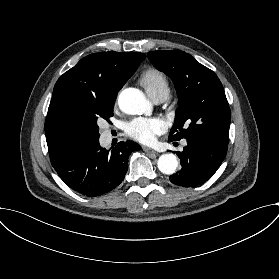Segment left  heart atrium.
Returning <instances> with one entry per match:
<instances>
[{
  "mask_svg": "<svg viewBox=\"0 0 279 279\" xmlns=\"http://www.w3.org/2000/svg\"><path fill=\"white\" fill-rule=\"evenodd\" d=\"M165 129L158 118L138 117L126 123L125 134L143 144L151 143Z\"/></svg>",
  "mask_w": 279,
  "mask_h": 279,
  "instance_id": "1",
  "label": "left heart atrium"
}]
</instances>
